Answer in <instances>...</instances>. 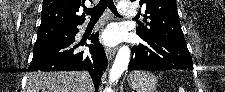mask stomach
Listing matches in <instances>:
<instances>
[{
  "instance_id": "1",
  "label": "stomach",
  "mask_w": 225,
  "mask_h": 92,
  "mask_svg": "<svg viewBox=\"0 0 225 92\" xmlns=\"http://www.w3.org/2000/svg\"><path fill=\"white\" fill-rule=\"evenodd\" d=\"M128 83L136 92H155L157 79L148 71H134L129 75Z\"/></svg>"
}]
</instances>
